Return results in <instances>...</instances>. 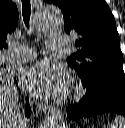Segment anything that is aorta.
Here are the masks:
<instances>
[{
    "mask_svg": "<svg viewBox=\"0 0 125 128\" xmlns=\"http://www.w3.org/2000/svg\"><path fill=\"white\" fill-rule=\"evenodd\" d=\"M35 26L40 31H55L63 23L61 11L50 4H44L35 13ZM41 128H65L64 114L61 109H52L41 124Z\"/></svg>",
    "mask_w": 125,
    "mask_h": 128,
    "instance_id": "obj_1",
    "label": "aorta"
}]
</instances>
